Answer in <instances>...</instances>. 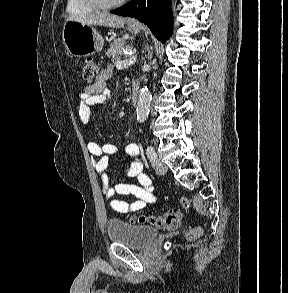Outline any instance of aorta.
<instances>
[{
  "mask_svg": "<svg viewBox=\"0 0 288 293\" xmlns=\"http://www.w3.org/2000/svg\"><path fill=\"white\" fill-rule=\"evenodd\" d=\"M151 102V93L147 86L141 88L136 108L137 121L142 123L146 120Z\"/></svg>",
  "mask_w": 288,
  "mask_h": 293,
  "instance_id": "762f6f07",
  "label": "aorta"
}]
</instances>
